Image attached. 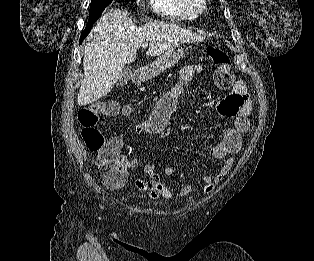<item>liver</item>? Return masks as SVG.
<instances>
[{"instance_id":"obj_1","label":"liver","mask_w":314,"mask_h":261,"mask_svg":"<svg viewBox=\"0 0 314 261\" xmlns=\"http://www.w3.org/2000/svg\"><path fill=\"white\" fill-rule=\"evenodd\" d=\"M93 35L84 49V79L77 99L80 106L110 93L124 66L135 61L143 43H149L147 55L155 57L179 44L203 39L167 22H150L138 28L120 9L104 12L93 28Z\"/></svg>"}]
</instances>
